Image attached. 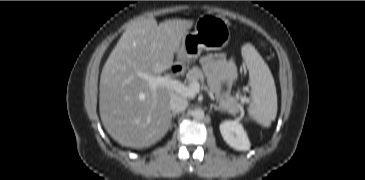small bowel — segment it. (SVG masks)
Masks as SVG:
<instances>
[{
    "label": "small bowel",
    "instance_id": "c3829d8e",
    "mask_svg": "<svg viewBox=\"0 0 365 180\" xmlns=\"http://www.w3.org/2000/svg\"><path fill=\"white\" fill-rule=\"evenodd\" d=\"M201 64L214 88L221 85L231 89L238 78L235 62L225 60L222 54H209L201 59Z\"/></svg>",
    "mask_w": 365,
    "mask_h": 180
}]
</instances>
